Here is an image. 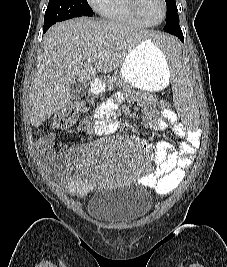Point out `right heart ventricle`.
<instances>
[{"label":"right heart ventricle","instance_id":"1","mask_svg":"<svg viewBox=\"0 0 227 267\" xmlns=\"http://www.w3.org/2000/svg\"><path fill=\"white\" fill-rule=\"evenodd\" d=\"M96 10L102 17L113 22L145 25L133 14L129 0H103Z\"/></svg>","mask_w":227,"mask_h":267}]
</instances>
